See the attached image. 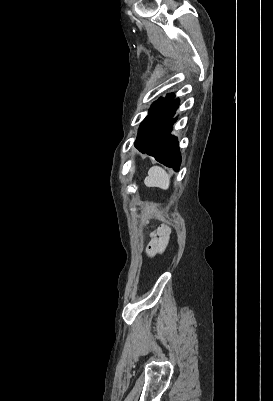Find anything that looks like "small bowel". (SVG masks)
I'll return each mask as SVG.
<instances>
[{"label": "small bowel", "instance_id": "small-bowel-1", "mask_svg": "<svg viewBox=\"0 0 273 401\" xmlns=\"http://www.w3.org/2000/svg\"><path fill=\"white\" fill-rule=\"evenodd\" d=\"M161 230H159V232H161ZM165 243H166V241H156L155 236H154L152 238L150 244L148 245L147 254L149 256H153V255L161 252L165 247Z\"/></svg>", "mask_w": 273, "mask_h": 401}]
</instances>
